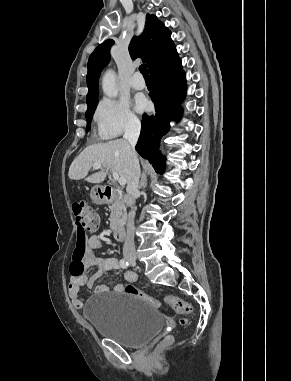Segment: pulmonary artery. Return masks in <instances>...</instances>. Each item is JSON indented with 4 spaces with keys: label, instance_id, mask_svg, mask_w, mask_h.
<instances>
[{
    "label": "pulmonary artery",
    "instance_id": "1",
    "mask_svg": "<svg viewBox=\"0 0 291 381\" xmlns=\"http://www.w3.org/2000/svg\"><path fill=\"white\" fill-rule=\"evenodd\" d=\"M130 85L135 90H142L145 88V81L139 72H136L132 76V78L130 80Z\"/></svg>",
    "mask_w": 291,
    "mask_h": 381
}]
</instances>
